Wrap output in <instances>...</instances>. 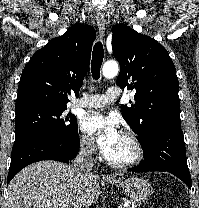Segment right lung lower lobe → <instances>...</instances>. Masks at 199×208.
<instances>
[{"mask_svg":"<svg viewBox=\"0 0 199 208\" xmlns=\"http://www.w3.org/2000/svg\"><path fill=\"white\" fill-rule=\"evenodd\" d=\"M79 147L78 131L68 139L38 135L15 142L11 154L7 184L22 168L34 162L42 160L69 162L77 155Z\"/></svg>","mask_w":199,"mask_h":208,"instance_id":"right-lung-lower-lobe-1","label":"right lung lower lobe"}]
</instances>
